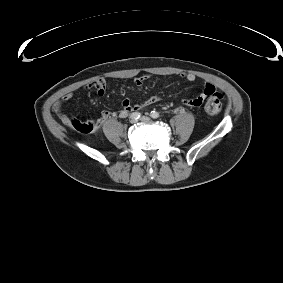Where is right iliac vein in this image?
<instances>
[{
	"mask_svg": "<svg viewBox=\"0 0 283 283\" xmlns=\"http://www.w3.org/2000/svg\"><path fill=\"white\" fill-rule=\"evenodd\" d=\"M131 122H132V123H135V122H136V119H132Z\"/></svg>",
	"mask_w": 283,
	"mask_h": 283,
	"instance_id": "obj_1",
	"label": "right iliac vein"
}]
</instances>
